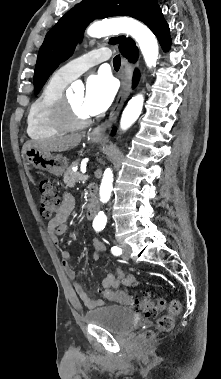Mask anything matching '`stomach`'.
<instances>
[{"label": "stomach", "instance_id": "0dacf381", "mask_svg": "<svg viewBox=\"0 0 221 379\" xmlns=\"http://www.w3.org/2000/svg\"><path fill=\"white\" fill-rule=\"evenodd\" d=\"M89 140L99 142L101 138L90 136ZM25 156L28 164L32 167L47 171L56 176H61L68 167V160L65 157L53 155L39 149L29 148L26 150Z\"/></svg>", "mask_w": 221, "mask_h": 379}]
</instances>
